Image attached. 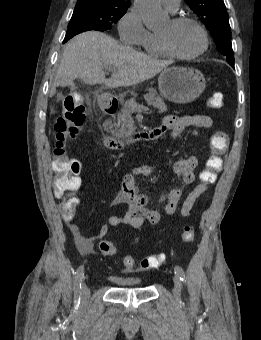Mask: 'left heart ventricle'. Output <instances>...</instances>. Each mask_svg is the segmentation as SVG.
Returning <instances> with one entry per match:
<instances>
[{"label": "left heart ventricle", "instance_id": "left-heart-ventricle-1", "mask_svg": "<svg viewBox=\"0 0 261 340\" xmlns=\"http://www.w3.org/2000/svg\"><path fill=\"white\" fill-rule=\"evenodd\" d=\"M158 35L165 37L176 52L184 55L195 53L203 43L200 31L191 23L174 25L170 20Z\"/></svg>", "mask_w": 261, "mask_h": 340}]
</instances>
